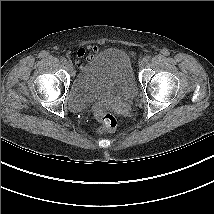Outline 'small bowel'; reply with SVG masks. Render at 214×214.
<instances>
[{"label": "small bowel", "mask_w": 214, "mask_h": 214, "mask_svg": "<svg viewBox=\"0 0 214 214\" xmlns=\"http://www.w3.org/2000/svg\"><path fill=\"white\" fill-rule=\"evenodd\" d=\"M101 53L99 47L97 45H87L85 47H81L76 52V66L79 69L84 67V59L87 61H93L99 54Z\"/></svg>", "instance_id": "c3829d8e"}]
</instances>
